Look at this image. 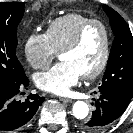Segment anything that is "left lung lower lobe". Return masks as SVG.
I'll use <instances>...</instances> for the list:
<instances>
[{
  "instance_id": "left-lung-lower-lobe-1",
  "label": "left lung lower lobe",
  "mask_w": 133,
  "mask_h": 133,
  "mask_svg": "<svg viewBox=\"0 0 133 133\" xmlns=\"http://www.w3.org/2000/svg\"><path fill=\"white\" fill-rule=\"evenodd\" d=\"M100 97L95 100L96 109L92 117L81 125L86 133H100L109 127L126 110L131 98L113 91L100 90Z\"/></svg>"
}]
</instances>
